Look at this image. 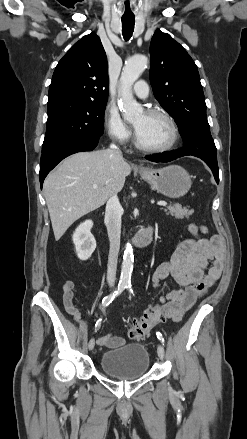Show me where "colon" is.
Instances as JSON below:
<instances>
[{"instance_id":"1","label":"colon","mask_w":247,"mask_h":439,"mask_svg":"<svg viewBox=\"0 0 247 439\" xmlns=\"http://www.w3.org/2000/svg\"><path fill=\"white\" fill-rule=\"evenodd\" d=\"M189 231L192 235L198 236L201 227L196 224L189 225ZM165 319V307L162 303L151 306L144 314L131 325L128 336L132 339H141L158 323Z\"/></svg>"}]
</instances>
